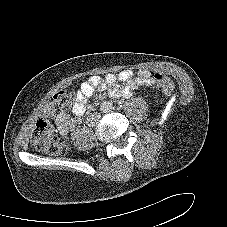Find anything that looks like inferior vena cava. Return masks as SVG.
<instances>
[{
    "label": "inferior vena cava",
    "mask_w": 227,
    "mask_h": 227,
    "mask_svg": "<svg viewBox=\"0 0 227 227\" xmlns=\"http://www.w3.org/2000/svg\"><path fill=\"white\" fill-rule=\"evenodd\" d=\"M101 110L103 112H109L111 110V104L109 102H103L101 104Z\"/></svg>",
    "instance_id": "602c4592"
}]
</instances>
